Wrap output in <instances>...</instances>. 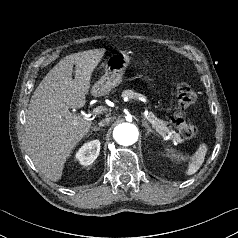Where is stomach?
<instances>
[{
    "instance_id": "1",
    "label": "stomach",
    "mask_w": 238,
    "mask_h": 238,
    "mask_svg": "<svg viewBox=\"0 0 238 238\" xmlns=\"http://www.w3.org/2000/svg\"><path fill=\"white\" fill-rule=\"evenodd\" d=\"M129 63L130 57L125 52L109 56L105 63V74L93 85L92 94L102 96L118 86Z\"/></svg>"
}]
</instances>
